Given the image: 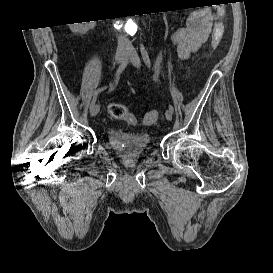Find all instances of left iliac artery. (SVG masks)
Here are the masks:
<instances>
[{"mask_svg": "<svg viewBox=\"0 0 273 273\" xmlns=\"http://www.w3.org/2000/svg\"><path fill=\"white\" fill-rule=\"evenodd\" d=\"M140 50H141V54H142V58L144 60V63L146 64V66L148 68H150L151 67L150 58H149L147 50L145 49L143 44H141ZM169 110L171 111V113H174V108L172 105H169Z\"/></svg>", "mask_w": 273, "mask_h": 273, "instance_id": "obj_1", "label": "left iliac artery"}]
</instances>
